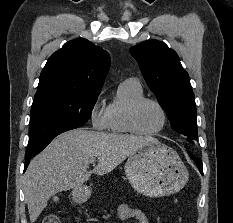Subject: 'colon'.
Returning <instances> with one entry per match:
<instances>
[{
    "instance_id": "1",
    "label": "colon",
    "mask_w": 233,
    "mask_h": 223,
    "mask_svg": "<svg viewBox=\"0 0 233 223\" xmlns=\"http://www.w3.org/2000/svg\"><path fill=\"white\" fill-rule=\"evenodd\" d=\"M43 223H60V219L55 213H50L44 218Z\"/></svg>"
}]
</instances>
